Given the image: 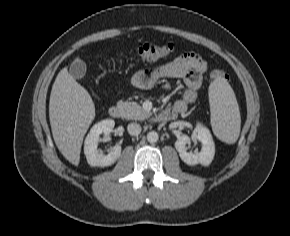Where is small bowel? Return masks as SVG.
Returning a JSON list of instances; mask_svg holds the SVG:
<instances>
[{
    "instance_id": "obj_1",
    "label": "small bowel",
    "mask_w": 290,
    "mask_h": 236,
    "mask_svg": "<svg viewBox=\"0 0 290 236\" xmlns=\"http://www.w3.org/2000/svg\"><path fill=\"white\" fill-rule=\"evenodd\" d=\"M206 70L207 64L200 54L186 52L153 70L138 71L134 74L132 83L136 88L149 89L163 79H182L186 88L173 108L186 110L196 100Z\"/></svg>"
}]
</instances>
